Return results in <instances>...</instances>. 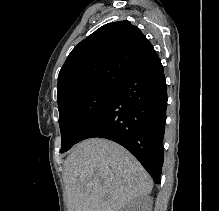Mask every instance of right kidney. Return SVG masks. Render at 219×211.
<instances>
[{
	"label": "right kidney",
	"mask_w": 219,
	"mask_h": 211,
	"mask_svg": "<svg viewBox=\"0 0 219 211\" xmlns=\"http://www.w3.org/2000/svg\"><path fill=\"white\" fill-rule=\"evenodd\" d=\"M153 197L144 195V197H134L131 203L127 205L124 211H152Z\"/></svg>",
	"instance_id": "obj_1"
}]
</instances>
